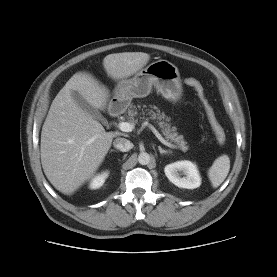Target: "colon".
<instances>
[{"instance_id": "1", "label": "colon", "mask_w": 277, "mask_h": 277, "mask_svg": "<svg viewBox=\"0 0 277 277\" xmlns=\"http://www.w3.org/2000/svg\"><path fill=\"white\" fill-rule=\"evenodd\" d=\"M185 83L188 86L192 87L195 90V92L197 93V95L202 103L203 109L205 111V115L208 120L209 126L212 130V133H213L216 141L220 145H224L226 142V132H225L223 126L220 124L213 107L211 106L208 99L206 98L205 92H204V89H203L201 83L198 80H196L195 78H187V79H185Z\"/></svg>"}]
</instances>
